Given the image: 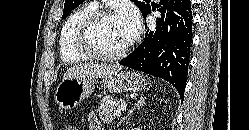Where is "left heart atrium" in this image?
<instances>
[{"instance_id":"obj_1","label":"left heart atrium","mask_w":249,"mask_h":130,"mask_svg":"<svg viewBox=\"0 0 249 130\" xmlns=\"http://www.w3.org/2000/svg\"><path fill=\"white\" fill-rule=\"evenodd\" d=\"M116 15L126 29L129 41H132L140 30V19L137 11L130 5H124Z\"/></svg>"}]
</instances>
